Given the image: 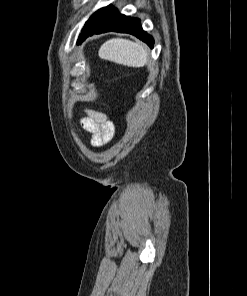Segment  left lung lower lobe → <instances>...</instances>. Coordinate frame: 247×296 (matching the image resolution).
I'll use <instances>...</instances> for the list:
<instances>
[{"label":"left lung lower lobe","instance_id":"0a47b994","mask_svg":"<svg viewBox=\"0 0 247 296\" xmlns=\"http://www.w3.org/2000/svg\"><path fill=\"white\" fill-rule=\"evenodd\" d=\"M122 32L135 35L137 38L153 47V37L141 27L140 20L120 14L117 9L107 6L96 11L85 23L77 43L81 44L87 37L104 32Z\"/></svg>","mask_w":247,"mask_h":296}]
</instances>
